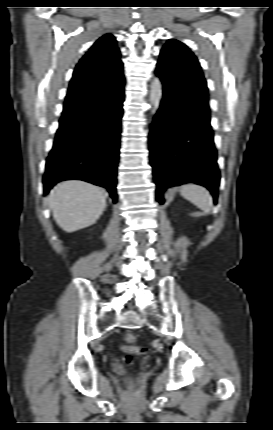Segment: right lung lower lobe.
Returning <instances> with one entry per match:
<instances>
[{
    "mask_svg": "<svg viewBox=\"0 0 273 430\" xmlns=\"http://www.w3.org/2000/svg\"><path fill=\"white\" fill-rule=\"evenodd\" d=\"M88 95L81 110L59 122L46 162L44 193L57 182L78 179L108 189L116 203L124 81L105 83Z\"/></svg>",
    "mask_w": 273,
    "mask_h": 430,
    "instance_id": "1",
    "label": "right lung lower lobe"
}]
</instances>
